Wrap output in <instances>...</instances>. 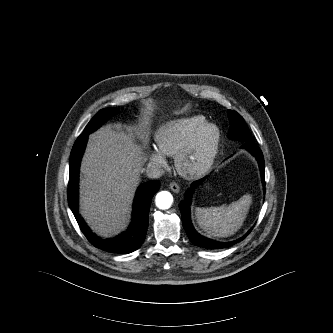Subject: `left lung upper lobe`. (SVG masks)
Masks as SVG:
<instances>
[{"instance_id":"1","label":"left lung upper lobe","mask_w":333,"mask_h":333,"mask_svg":"<svg viewBox=\"0 0 333 333\" xmlns=\"http://www.w3.org/2000/svg\"><path fill=\"white\" fill-rule=\"evenodd\" d=\"M228 117L230 120L228 138L232 140H241L246 143H253L249 129L242 116L235 111L228 110Z\"/></svg>"}]
</instances>
